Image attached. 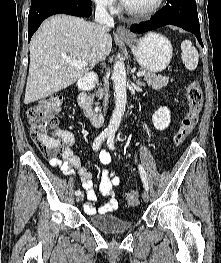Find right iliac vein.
<instances>
[{
  "label": "right iliac vein",
  "instance_id": "1",
  "mask_svg": "<svg viewBox=\"0 0 221 263\" xmlns=\"http://www.w3.org/2000/svg\"><path fill=\"white\" fill-rule=\"evenodd\" d=\"M83 199H84V195H83V194H80V195L77 196L76 201H77V202H82Z\"/></svg>",
  "mask_w": 221,
  "mask_h": 263
}]
</instances>
